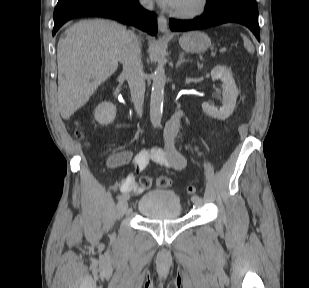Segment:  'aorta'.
<instances>
[{
	"mask_svg": "<svg viewBox=\"0 0 309 288\" xmlns=\"http://www.w3.org/2000/svg\"><path fill=\"white\" fill-rule=\"evenodd\" d=\"M157 62L158 65L154 71L150 97V121L154 128L158 127L161 123L166 83L165 69L161 57H158Z\"/></svg>",
	"mask_w": 309,
	"mask_h": 288,
	"instance_id": "obj_1",
	"label": "aorta"
}]
</instances>
